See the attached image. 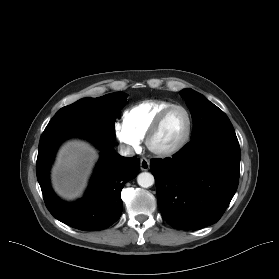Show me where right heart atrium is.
I'll return each mask as SVG.
<instances>
[{
  "mask_svg": "<svg viewBox=\"0 0 279 279\" xmlns=\"http://www.w3.org/2000/svg\"><path fill=\"white\" fill-rule=\"evenodd\" d=\"M114 131L117 139L129 150L135 151L140 147V139L129 131L122 123H115Z\"/></svg>",
  "mask_w": 279,
  "mask_h": 279,
  "instance_id": "1",
  "label": "right heart atrium"
}]
</instances>
